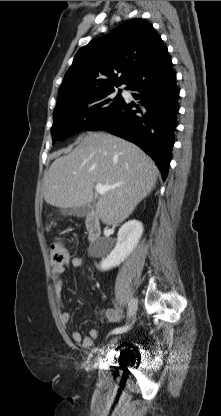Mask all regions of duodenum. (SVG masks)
Segmentation results:
<instances>
[{
  "label": "duodenum",
  "instance_id": "1",
  "mask_svg": "<svg viewBox=\"0 0 221 416\" xmlns=\"http://www.w3.org/2000/svg\"><path fill=\"white\" fill-rule=\"evenodd\" d=\"M87 237L90 243L100 238L102 234V227L100 221L95 214H91L86 218Z\"/></svg>",
  "mask_w": 221,
  "mask_h": 416
}]
</instances>
